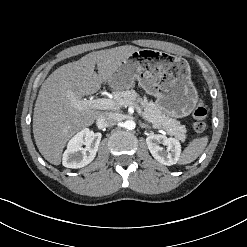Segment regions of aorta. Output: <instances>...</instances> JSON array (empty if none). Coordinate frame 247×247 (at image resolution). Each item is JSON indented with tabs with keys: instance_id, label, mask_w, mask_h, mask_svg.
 <instances>
[{
	"instance_id": "1",
	"label": "aorta",
	"mask_w": 247,
	"mask_h": 247,
	"mask_svg": "<svg viewBox=\"0 0 247 247\" xmlns=\"http://www.w3.org/2000/svg\"><path fill=\"white\" fill-rule=\"evenodd\" d=\"M123 127L127 130H133L135 128V122L132 120H127L124 122Z\"/></svg>"
}]
</instances>
